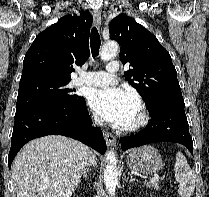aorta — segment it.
I'll list each match as a JSON object with an SVG mask.
<instances>
[{
  "label": "aorta",
  "instance_id": "1",
  "mask_svg": "<svg viewBox=\"0 0 209 197\" xmlns=\"http://www.w3.org/2000/svg\"><path fill=\"white\" fill-rule=\"evenodd\" d=\"M119 45L116 41L105 43L100 51V57L108 61L117 56ZM106 167L104 171V183L109 194H114L118 184L117 157L113 149L106 153Z\"/></svg>",
  "mask_w": 209,
  "mask_h": 197
}]
</instances>
